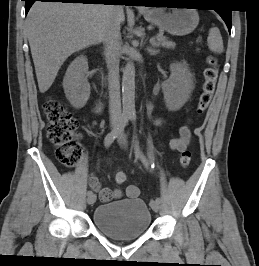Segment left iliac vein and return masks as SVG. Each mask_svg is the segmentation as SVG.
<instances>
[{"label":"left iliac vein","instance_id":"obj_1","mask_svg":"<svg viewBox=\"0 0 259 266\" xmlns=\"http://www.w3.org/2000/svg\"><path fill=\"white\" fill-rule=\"evenodd\" d=\"M118 139H119L120 144H122L123 146L126 145L125 134L123 132L120 133ZM150 206L155 212H158L160 210V203L157 201L150 202Z\"/></svg>","mask_w":259,"mask_h":266}]
</instances>
